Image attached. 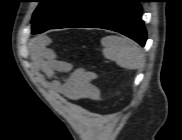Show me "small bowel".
<instances>
[{
    "instance_id": "small-bowel-1",
    "label": "small bowel",
    "mask_w": 182,
    "mask_h": 140,
    "mask_svg": "<svg viewBox=\"0 0 182 140\" xmlns=\"http://www.w3.org/2000/svg\"><path fill=\"white\" fill-rule=\"evenodd\" d=\"M42 58L46 67V76L41 75L40 79L49 91L59 93L73 101L99 98L100 91L94 84L97 75L94 72L83 67L72 68L70 63L58 60L55 52L50 49L43 51ZM55 72L68 73V75L60 78Z\"/></svg>"
}]
</instances>
